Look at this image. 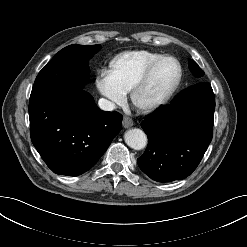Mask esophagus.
<instances>
[{
	"label": "esophagus",
	"mask_w": 247,
	"mask_h": 247,
	"mask_svg": "<svg viewBox=\"0 0 247 247\" xmlns=\"http://www.w3.org/2000/svg\"><path fill=\"white\" fill-rule=\"evenodd\" d=\"M122 124H123V127H124V128H130V127L133 126V120H132L131 118L125 116V117L123 118Z\"/></svg>",
	"instance_id": "1"
}]
</instances>
